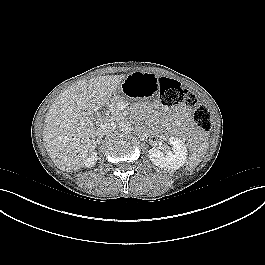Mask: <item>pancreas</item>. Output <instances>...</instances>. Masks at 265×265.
<instances>
[{
    "mask_svg": "<svg viewBox=\"0 0 265 265\" xmlns=\"http://www.w3.org/2000/svg\"><path fill=\"white\" fill-rule=\"evenodd\" d=\"M121 104H127L126 98L122 96H115L111 100V105H110V112H111V118L114 120H120L123 119V114L120 109Z\"/></svg>",
    "mask_w": 265,
    "mask_h": 265,
    "instance_id": "cf45deb5",
    "label": "pancreas"
}]
</instances>
